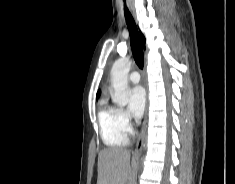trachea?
<instances>
[{"instance_id":"trachea-1","label":"trachea","mask_w":235,"mask_h":184,"mask_svg":"<svg viewBox=\"0 0 235 184\" xmlns=\"http://www.w3.org/2000/svg\"><path fill=\"white\" fill-rule=\"evenodd\" d=\"M125 17H126L128 30L130 33V43H131V49H132V53L134 56V60L136 61V64L138 65V67L142 69L144 65L143 49H142L137 27L127 8H125Z\"/></svg>"}]
</instances>
